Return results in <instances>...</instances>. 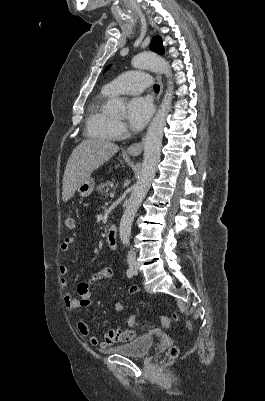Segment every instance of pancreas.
<instances>
[{"label":"pancreas","mask_w":265,"mask_h":401,"mask_svg":"<svg viewBox=\"0 0 265 401\" xmlns=\"http://www.w3.org/2000/svg\"><path fill=\"white\" fill-rule=\"evenodd\" d=\"M111 184L112 182H110V180H105V182H101V184H98V186H96V190L97 192H102V194H105V196H107V194H109L108 190H110Z\"/></svg>","instance_id":"pancreas-1"}]
</instances>
